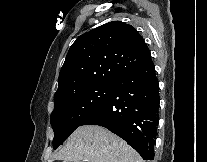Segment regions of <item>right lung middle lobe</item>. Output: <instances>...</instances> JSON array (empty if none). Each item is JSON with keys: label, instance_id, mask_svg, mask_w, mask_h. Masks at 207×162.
<instances>
[{"label": "right lung middle lobe", "instance_id": "1", "mask_svg": "<svg viewBox=\"0 0 207 162\" xmlns=\"http://www.w3.org/2000/svg\"><path fill=\"white\" fill-rule=\"evenodd\" d=\"M114 88L115 84L95 85L54 98L55 107L51 114L54 149L105 102Z\"/></svg>", "mask_w": 207, "mask_h": 162}]
</instances>
